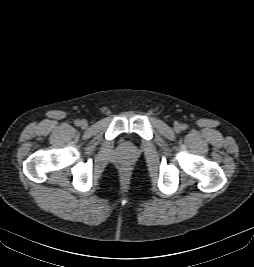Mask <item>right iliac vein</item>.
Wrapping results in <instances>:
<instances>
[{"label": "right iliac vein", "mask_w": 254, "mask_h": 267, "mask_svg": "<svg viewBox=\"0 0 254 267\" xmlns=\"http://www.w3.org/2000/svg\"><path fill=\"white\" fill-rule=\"evenodd\" d=\"M80 126L82 128H86L88 126V122L86 120H82Z\"/></svg>", "instance_id": "right-iliac-vein-1"}]
</instances>
